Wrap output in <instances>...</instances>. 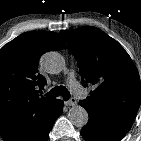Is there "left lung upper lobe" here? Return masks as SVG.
I'll list each match as a JSON object with an SVG mask.
<instances>
[{"mask_svg": "<svg viewBox=\"0 0 141 141\" xmlns=\"http://www.w3.org/2000/svg\"><path fill=\"white\" fill-rule=\"evenodd\" d=\"M60 34L78 61L83 85L96 86L79 104L112 118H134L140 105V78L124 48L95 27Z\"/></svg>", "mask_w": 141, "mask_h": 141, "instance_id": "1", "label": "left lung upper lobe"}]
</instances>
